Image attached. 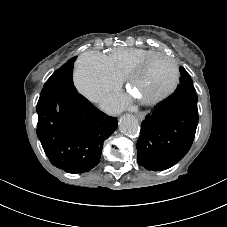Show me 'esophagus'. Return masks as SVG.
Instances as JSON below:
<instances>
[{"instance_id":"esophagus-1","label":"esophagus","mask_w":227,"mask_h":227,"mask_svg":"<svg viewBox=\"0 0 227 227\" xmlns=\"http://www.w3.org/2000/svg\"><path fill=\"white\" fill-rule=\"evenodd\" d=\"M145 116H146V114H145L144 112H138V113H137V118H138L140 121L144 120Z\"/></svg>"}]
</instances>
